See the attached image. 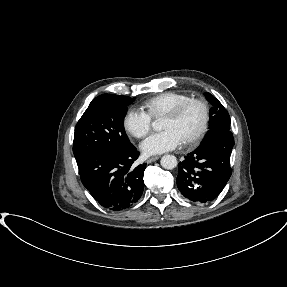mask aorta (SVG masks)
Returning a JSON list of instances; mask_svg holds the SVG:
<instances>
[{"instance_id": "1", "label": "aorta", "mask_w": 287, "mask_h": 287, "mask_svg": "<svg viewBox=\"0 0 287 287\" xmlns=\"http://www.w3.org/2000/svg\"><path fill=\"white\" fill-rule=\"evenodd\" d=\"M153 127L157 128V123H153ZM160 164L165 169H174L177 166V159L174 155H164L161 158Z\"/></svg>"}]
</instances>
